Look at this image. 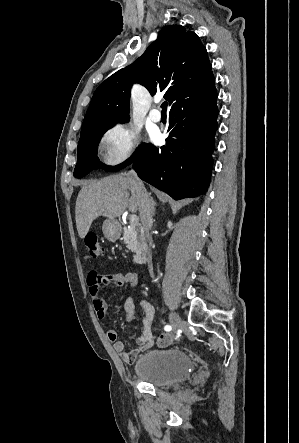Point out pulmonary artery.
Masks as SVG:
<instances>
[{
	"label": "pulmonary artery",
	"instance_id": "1",
	"mask_svg": "<svg viewBox=\"0 0 299 443\" xmlns=\"http://www.w3.org/2000/svg\"><path fill=\"white\" fill-rule=\"evenodd\" d=\"M155 103H158L156 100ZM149 117L154 122H159L161 120V113L157 109H152L149 113Z\"/></svg>",
	"mask_w": 299,
	"mask_h": 443
}]
</instances>
